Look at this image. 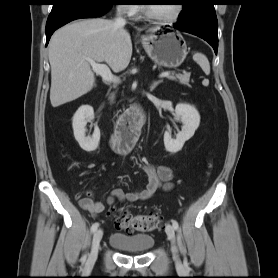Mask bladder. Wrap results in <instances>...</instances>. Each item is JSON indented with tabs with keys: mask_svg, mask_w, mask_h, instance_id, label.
I'll list each match as a JSON object with an SVG mask.
<instances>
[{
	"mask_svg": "<svg viewBox=\"0 0 278 278\" xmlns=\"http://www.w3.org/2000/svg\"><path fill=\"white\" fill-rule=\"evenodd\" d=\"M154 242V237L146 233L129 235L122 232H114L109 236V244L111 247L129 252L150 250L154 246Z\"/></svg>",
	"mask_w": 278,
	"mask_h": 278,
	"instance_id": "obj_1",
	"label": "bladder"
}]
</instances>
